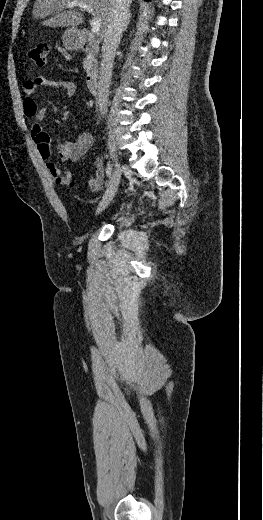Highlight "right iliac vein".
Returning a JSON list of instances; mask_svg holds the SVG:
<instances>
[{
	"label": "right iliac vein",
	"mask_w": 263,
	"mask_h": 520,
	"mask_svg": "<svg viewBox=\"0 0 263 520\" xmlns=\"http://www.w3.org/2000/svg\"><path fill=\"white\" fill-rule=\"evenodd\" d=\"M114 158H115V169H114L113 175L111 177V180L109 181L108 188H107L105 194L103 195L101 202L98 205L96 214L101 213L110 204V202L114 198V196L117 192L119 183H120L121 174L124 171V166L118 161V159L115 156H114Z\"/></svg>",
	"instance_id": "63e3f726"
}]
</instances>
